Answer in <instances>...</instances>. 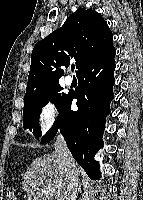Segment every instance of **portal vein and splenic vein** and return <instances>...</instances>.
Masks as SVG:
<instances>
[{
	"label": "portal vein and splenic vein",
	"instance_id": "portal-vein-and-splenic-vein-1",
	"mask_svg": "<svg viewBox=\"0 0 143 200\" xmlns=\"http://www.w3.org/2000/svg\"><path fill=\"white\" fill-rule=\"evenodd\" d=\"M42 193L46 196V197H49V195H50V191H49V189L48 188H46V187H42Z\"/></svg>",
	"mask_w": 143,
	"mask_h": 200
}]
</instances>
